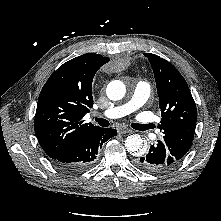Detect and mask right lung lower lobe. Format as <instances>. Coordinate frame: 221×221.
Listing matches in <instances>:
<instances>
[{
    "instance_id": "1",
    "label": "right lung lower lobe",
    "mask_w": 221,
    "mask_h": 221,
    "mask_svg": "<svg viewBox=\"0 0 221 221\" xmlns=\"http://www.w3.org/2000/svg\"><path fill=\"white\" fill-rule=\"evenodd\" d=\"M116 135L115 129L96 127L52 160L56 166L68 172L89 169L96 162L103 143Z\"/></svg>"
}]
</instances>
